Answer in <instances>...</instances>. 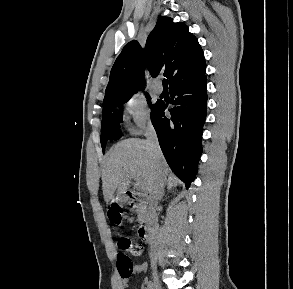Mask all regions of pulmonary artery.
<instances>
[{
    "label": "pulmonary artery",
    "mask_w": 293,
    "mask_h": 289,
    "mask_svg": "<svg viewBox=\"0 0 293 289\" xmlns=\"http://www.w3.org/2000/svg\"><path fill=\"white\" fill-rule=\"evenodd\" d=\"M154 90L156 93L161 94L163 91V86L160 81L156 80L154 82Z\"/></svg>",
    "instance_id": "obj_1"
}]
</instances>
